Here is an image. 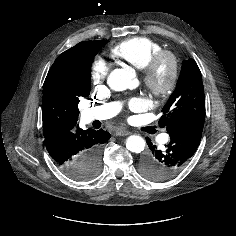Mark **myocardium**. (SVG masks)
<instances>
[{
	"instance_id": "myocardium-1",
	"label": "myocardium",
	"mask_w": 236,
	"mask_h": 236,
	"mask_svg": "<svg viewBox=\"0 0 236 236\" xmlns=\"http://www.w3.org/2000/svg\"><path fill=\"white\" fill-rule=\"evenodd\" d=\"M169 65L168 78L162 81L159 78L161 67ZM180 75V60L176 53L170 50H161L141 69V77L145 87L157 98L168 97L175 89Z\"/></svg>"
}]
</instances>
